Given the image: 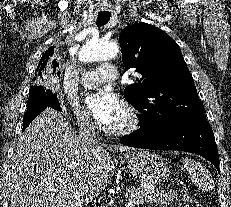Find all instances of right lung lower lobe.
Here are the masks:
<instances>
[{
    "label": "right lung lower lobe",
    "instance_id": "98d812e1",
    "mask_svg": "<svg viewBox=\"0 0 231 207\" xmlns=\"http://www.w3.org/2000/svg\"><path fill=\"white\" fill-rule=\"evenodd\" d=\"M47 107H52L61 111L56 95H54L50 90L43 88L36 92L33 101L27 105V111L23 119V131L28 127L30 122H32V120Z\"/></svg>",
    "mask_w": 231,
    "mask_h": 207
}]
</instances>
